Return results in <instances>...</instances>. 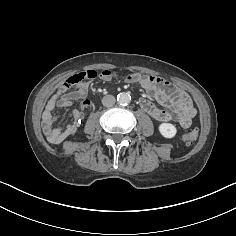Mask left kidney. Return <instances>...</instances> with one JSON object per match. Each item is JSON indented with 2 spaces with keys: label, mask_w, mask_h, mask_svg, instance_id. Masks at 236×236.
I'll list each match as a JSON object with an SVG mask.
<instances>
[{
  "label": "left kidney",
  "mask_w": 236,
  "mask_h": 236,
  "mask_svg": "<svg viewBox=\"0 0 236 236\" xmlns=\"http://www.w3.org/2000/svg\"><path fill=\"white\" fill-rule=\"evenodd\" d=\"M159 132L165 138H173L177 133V129L171 123H162L159 125Z\"/></svg>",
  "instance_id": "left-kidney-1"
}]
</instances>
